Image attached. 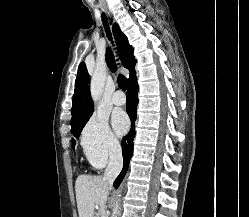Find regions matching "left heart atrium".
Masks as SVG:
<instances>
[{
  "mask_svg": "<svg viewBox=\"0 0 249 217\" xmlns=\"http://www.w3.org/2000/svg\"><path fill=\"white\" fill-rule=\"evenodd\" d=\"M113 127L119 135L124 134L129 127V119L124 112L118 111L112 118Z\"/></svg>",
  "mask_w": 249,
  "mask_h": 217,
  "instance_id": "left-heart-atrium-1",
  "label": "left heart atrium"
}]
</instances>
